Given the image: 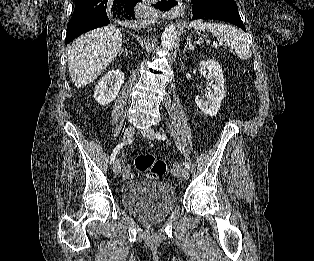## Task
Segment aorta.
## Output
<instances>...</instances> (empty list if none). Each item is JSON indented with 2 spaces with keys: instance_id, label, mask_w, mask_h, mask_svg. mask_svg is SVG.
I'll list each match as a JSON object with an SVG mask.
<instances>
[{
  "instance_id": "aorta-1",
  "label": "aorta",
  "mask_w": 314,
  "mask_h": 261,
  "mask_svg": "<svg viewBox=\"0 0 314 261\" xmlns=\"http://www.w3.org/2000/svg\"><path fill=\"white\" fill-rule=\"evenodd\" d=\"M177 39V29L171 24L165 27L162 37H161V45L164 50L173 49L175 42Z\"/></svg>"
}]
</instances>
